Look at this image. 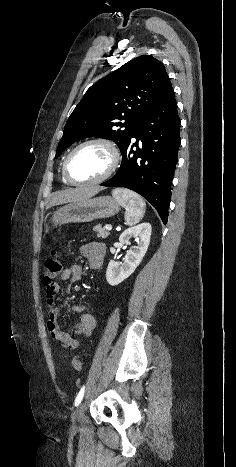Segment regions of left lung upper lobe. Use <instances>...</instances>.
<instances>
[{
    "instance_id": "5c2ea615",
    "label": "left lung upper lobe",
    "mask_w": 236,
    "mask_h": 467,
    "mask_svg": "<svg viewBox=\"0 0 236 467\" xmlns=\"http://www.w3.org/2000/svg\"><path fill=\"white\" fill-rule=\"evenodd\" d=\"M163 64L139 56L97 81L66 122L55 158L87 137L112 139L122 151L132 131L171 88Z\"/></svg>"
}]
</instances>
